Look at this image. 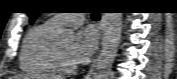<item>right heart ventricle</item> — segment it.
<instances>
[{
  "mask_svg": "<svg viewBox=\"0 0 177 79\" xmlns=\"http://www.w3.org/2000/svg\"><path fill=\"white\" fill-rule=\"evenodd\" d=\"M57 27L48 22L33 28L27 35L21 50V69L25 72L53 75L59 68L55 59L53 37Z\"/></svg>",
  "mask_w": 177,
  "mask_h": 79,
  "instance_id": "e07e8e85",
  "label": "right heart ventricle"
}]
</instances>
